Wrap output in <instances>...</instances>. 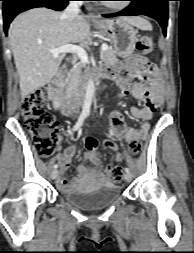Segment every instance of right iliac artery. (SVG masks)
I'll use <instances>...</instances> for the list:
<instances>
[{
  "instance_id": "obj_1",
  "label": "right iliac artery",
  "mask_w": 194,
  "mask_h": 253,
  "mask_svg": "<svg viewBox=\"0 0 194 253\" xmlns=\"http://www.w3.org/2000/svg\"><path fill=\"white\" fill-rule=\"evenodd\" d=\"M87 115H88V113L85 112V111H83V112L80 114V116H79V118H78V121L76 122V124H75L74 127H73V131H77V130L82 126V124H83L85 118L87 117ZM53 168H54V169H57V168H58V165L55 164V165L53 166Z\"/></svg>"
}]
</instances>
